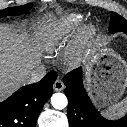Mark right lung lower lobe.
<instances>
[{"mask_svg":"<svg viewBox=\"0 0 127 127\" xmlns=\"http://www.w3.org/2000/svg\"><path fill=\"white\" fill-rule=\"evenodd\" d=\"M56 72L41 81L24 86L0 103V127H36L37 118L51 97Z\"/></svg>","mask_w":127,"mask_h":127,"instance_id":"right-lung-lower-lobe-1","label":"right lung lower lobe"}]
</instances>
